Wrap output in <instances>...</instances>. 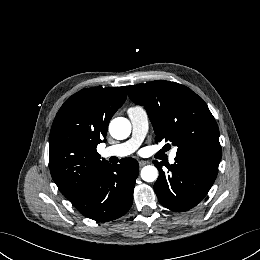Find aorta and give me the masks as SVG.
I'll return each mask as SVG.
<instances>
[{"instance_id":"aorta-1","label":"aorta","mask_w":260,"mask_h":260,"mask_svg":"<svg viewBox=\"0 0 260 260\" xmlns=\"http://www.w3.org/2000/svg\"><path fill=\"white\" fill-rule=\"evenodd\" d=\"M111 136L117 140L126 139L131 133V123L124 117H117L109 124ZM141 178L146 182H154L158 178V170L155 166L147 165L141 170Z\"/></svg>"}]
</instances>
